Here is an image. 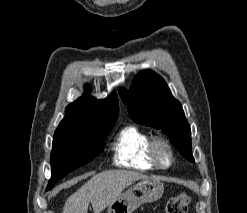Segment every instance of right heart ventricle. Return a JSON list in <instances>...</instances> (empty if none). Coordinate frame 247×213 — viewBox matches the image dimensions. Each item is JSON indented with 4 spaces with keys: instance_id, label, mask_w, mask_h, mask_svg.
Segmentation results:
<instances>
[{
    "instance_id": "e07e8e85",
    "label": "right heart ventricle",
    "mask_w": 247,
    "mask_h": 213,
    "mask_svg": "<svg viewBox=\"0 0 247 213\" xmlns=\"http://www.w3.org/2000/svg\"><path fill=\"white\" fill-rule=\"evenodd\" d=\"M151 139V135L137 126L123 127L112 144L115 163L139 171L158 169L149 154Z\"/></svg>"
}]
</instances>
